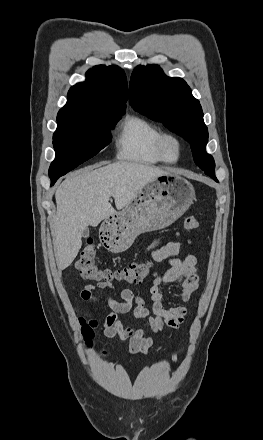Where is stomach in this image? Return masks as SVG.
I'll return each mask as SVG.
<instances>
[{
  "mask_svg": "<svg viewBox=\"0 0 263 440\" xmlns=\"http://www.w3.org/2000/svg\"><path fill=\"white\" fill-rule=\"evenodd\" d=\"M195 197L185 178L168 173L153 179L123 209L104 219L100 232L106 248L126 251L142 233L168 227L182 216Z\"/></svg>",
  "mask_w": 263,
  "mask_h": 440,
  "instance_id": "obj_1",
  "label": "stomach"
}]
</instances>
